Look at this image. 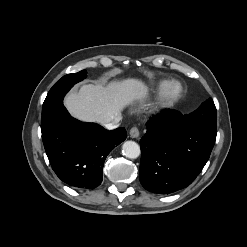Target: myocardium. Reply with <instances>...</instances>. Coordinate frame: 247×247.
<instances>
[{"mask_svg": "<svg viewBox=\"0 0 247 247\" xmlns=\"http://www.w3.org/2000/svg\"><path fill=\"white\" fill-rule=\"evenodd\" d=\"M183 85L177 80L168 81L161 89L158 109L163 110L174 106L182 97Z\"/></svg>", "mask_w": 247, "mask_h": 247, "instance_id": "1", "label": "myocardium"}]
</instances>
